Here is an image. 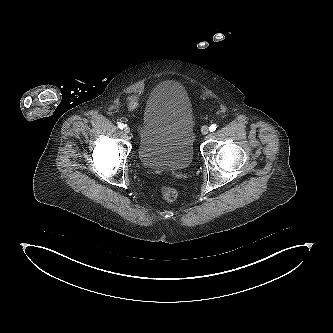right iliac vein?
Returning a JSON list of instances; mask_svg holds the SVG:
<instances>
[{
  "label": "right iliac vein",
  "instance_id": "1",
  "mask_svg": "<svg viewBox=\"0 0 333 333\" xmlns=\"http://www.w3.org/2000/svg\"><path fill=\"white\" fill-rule=\"evenodd\" d=\"M124 132L125 133H129L130 132V128L128 126H124Z\"/></svg>",
  "mask_w": 333,
  "mask_h": 333
}]
</instances>
